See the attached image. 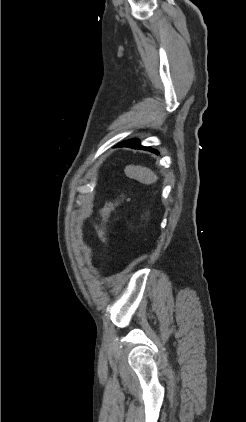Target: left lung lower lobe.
I'll list each match as a JSON object with an SVG mask.
<instances>
[{
    "label": "left lung lower lobe",
    "instance_id": "0a47b994",
    "mask_svg": "<svg viewBox=\"0 0 246 422\" xmlns=\"http://www.w3.org/2000/svg\"><path fill=\"white\" fill-rule=\"evenodd\" d=\"M116 147H129V148H134V149H142V150H147V151H151L158 154V151H156L155 149L142 146L138 139L124 141L118 144Z\"/></svg>",
    "mask_w": 246,
    "mask_h": 422
}]
</instances>
